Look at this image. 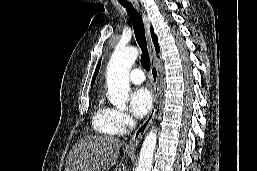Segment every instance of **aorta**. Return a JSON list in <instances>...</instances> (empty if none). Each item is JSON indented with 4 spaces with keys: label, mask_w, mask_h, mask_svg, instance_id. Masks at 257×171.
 <instances>
[{
    "label": "aorta",
    "mask_w": 257,
    "mask_h": 171,
    "mask_svg": "<svg viewBox=\"0 0 257 171\" xmlns=\"http://www.w3.org/2000/svg\"><path fill=\"white\" fill-rule=\"evenodd\" d=\"M135 47L116 48L107 66V88L109 101L119 109L126 107L130 91L129 71L138 57ZM157 131L153 127L145 137L136 171H151L153 153L156 146Z\"/></svg>",
    "instance_id": "1"
}]
</instances>
